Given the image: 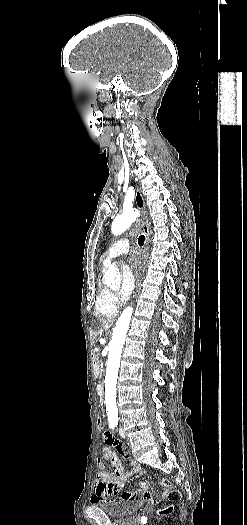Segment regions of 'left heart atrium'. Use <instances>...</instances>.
<instances>
[{"mask_svg":"<svg viewBox=\"0 0 247 525\" xmlns=\"http://www.w3.org/2000/svg\"><path fill=\"white\" fill-rule=\"evenodd\" d=\"M147 264V257L140 251H133L127 258V267L122 271L123 286L120 292L121 299H126L135 284V275H140Z\"/></svg>","mask_w":247,"mask_h":525,"instance_id":"1","label":"left heart atrium"}]
</instances>
